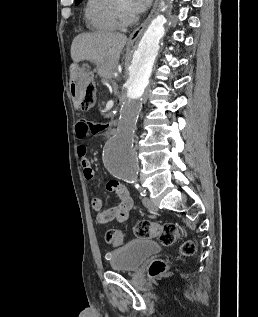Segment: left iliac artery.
I'll list each match as a JSON object with an SVG mask.
<instances>
[{
    "label": "left iliac artery",
    "mask_w": 258,
    "mask_h": 317,
    "mask_svg": "<svg viewBox=\"0 0 258 317\" xmlns=\"http://www.w3.org/2000/svg\"><path fill=\"white\" fill-rule=\"evenodd\" d=\"M123 180L129 184L134 185L135 188L139 191L141 196L145 197L147 195L146 189L137 183L136 177H123Z\"/></svg>",
    "instance_id": "obj_1"
}]
</instances>
